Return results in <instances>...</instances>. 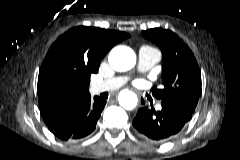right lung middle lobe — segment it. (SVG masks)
<instances>
[{"instance_id": "obj_1", "label": "right lung middle lobe", "mask_w": 240, "mask_h": 160, "mask_svg": "<svg viewBox=\"0 0 240 160\" xmlns=\"http://www.w3.org/2000/svg\"><path fill=\"white\" fill-rule=\"evenodd\" d=\"M88 86H89V81H88V83L86 84V87H85L86 90H88Z\"/></svg>"}]
</instances>
